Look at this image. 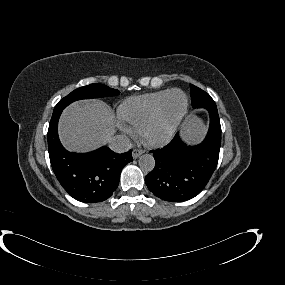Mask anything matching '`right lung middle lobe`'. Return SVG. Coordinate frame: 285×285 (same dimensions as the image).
Masks as SVG:
<instances>
[{
	"instance_id": "dd1d6c3e",
	"label": "right lung middle lobe",
	"mask_w": 285,
	"mask_h": 285,
	"mask_svg": "<svg viewBox=\"0 0 285 285\" xmlns=\"http://www.w3.org/2000/svg\"><path fill=\"white\" fill-rule=\"evenodd\" d=\"M119 93L118 90L109 88L103 84H90L72 91L69 95L61 99L55 106L54 112L63 110L66 106L76 100L116 96Z\"/></svg>"
}]
</instances>
